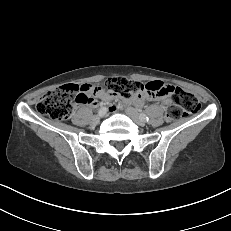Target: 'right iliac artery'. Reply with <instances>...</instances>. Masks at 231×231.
<instances>
[{"label": "right iliac artery", "instance_id": "obj_1", "mask_svg": "<svg viewBox=\"0 0 231 231\" xmlns=\"http://www.w3.org/2000/svg\"><path fill=\"white\" fill-rule=\"evenodd\" d=\"M105 112H107V108L106 107H101L98 113L102 114V113H105Z\"/></svg>", "mask_w": 231, "mask_h": 231}]
</instances>
